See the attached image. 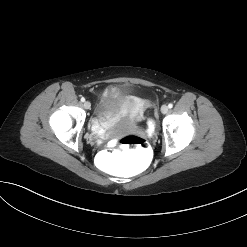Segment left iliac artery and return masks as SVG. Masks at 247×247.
<instances>
[{"mask_svg": "<svg viewBox=\"0 0 247 247\" xmlns=\"http://www.w3.org/2000/svg\"><path fill=\"white\" fill-rule=\"evenodd\" d=\"M168 107H169V108H172V107H173V104H172V103H170V104L168 105Z\"/></svg>", "mask_w": 247, "mask_h": 247, "instance_id": "1", "label": "left iliac artery"}]
</instances>
